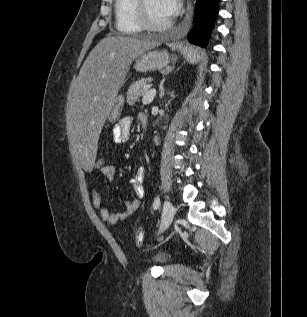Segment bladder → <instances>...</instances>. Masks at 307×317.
<instances>
[{
    "label": "bladder",
    "instance_id": "31cf9c89",
    "mask_svg": "<svg viewBox=\"0 0 307 317\" xmlns=\"http://www.w3.org/2000/svg\"><path fill=\"white\" fill-rule=\"evenodd\" d=\"M154 260L157 262H160V263H167V262H169L170 258L167 255L160 254V255L155 256Z\"/></svg>",
    "mask_w": 307,
    "mask_h": 317
}]
</instances>
